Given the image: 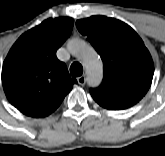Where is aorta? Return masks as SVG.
<instances>
[{
    "mask_svg": "<svg viewBox=\"0 0 165 156\" xmlns=\"http://www.w3.org/2000/svg\"><path fill=\"white\" fill-rule=\"evenodd\" d=\"M67 49L74 57L83 63L86 69L89 86H98L103 77V65L96 51L85 41L80 39L69 41Z\"/></svg>",
    "mask_w": 165,
    "mask_h": 156,
    "instance_id": "1",
    "label": "aorta"
}]
</instances>
